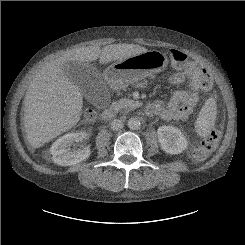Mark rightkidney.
Wrapping results in <instances>:
<instances>
[{"label":"right kidney","instance_id":"obj_1","mask_svg":"<svg viewBox=\"0 0 245 245\" xmlns=\"http://www.w3.org/2000/svg\"><path fill=\"white\" fill-rule=\"evenodd\" d=\"M86 138L87 134L85 132H72L57 139L50 149L53 161L61 166H72L86 160L90 156L89 147L71 149V145L74 142H79Z\"/></svg>","mask_w":245,"mask_h":245}]
</instances>
